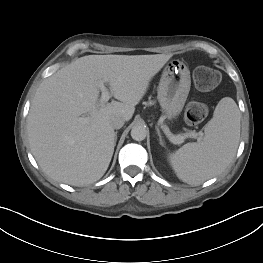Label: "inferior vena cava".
<instances>
[{"label": "inferior vena cava", "mask_w": 263, "mask_h": 263, "mask_svg": "<svg viewBox=\"0 0 263 263\" xmlns=\"http://www.w3.org/2000/svg\"><path fill=\"white\" fill-rule=\"evenodd\" d=\"M124 118L121 116H116L111 119V126L114 129H120L124 125Z\"/></svg>", "instance_id": "1"}]
</instances>
